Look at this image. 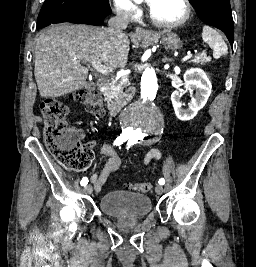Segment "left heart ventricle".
Here are the masks:
<instances>
[{
    "label": "left heart ventricle",
    "mask_w": 256,
    "mask_h": 267,
    "mask_svg": "<svg viewBox=\"0 0 256 267\" xmlns=\"http://www.w3.org/2000/svg\"><path fill=\"white\" fill-rule=\"evenodd\" d=\"M183 15V11L180 6L175 3L169 2L159 15V21L164 26L173 21L179 20Z\"/></svg>",
    "instance_id": "left-heart-ventricle-1"
}]
</instances>
